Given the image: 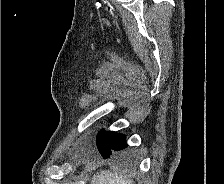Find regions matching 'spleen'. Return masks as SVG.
<instances>
[{
	"instance_id": "obj_1",
	"label": "spleen",
	"mask_w": 224,
	"mask_h": 184,
	"mask_svg": "<svg viewBox=\"0 0 224 184\" xmlns=\"http://www.w3.org/2000/svg\"><path fill=\"white\" fill-rule=\"evenodd\" d=\"M92 184H132V180L123 174H115L109 170L101 171L93 175Z\"/></svg>"
}]
</instances>
